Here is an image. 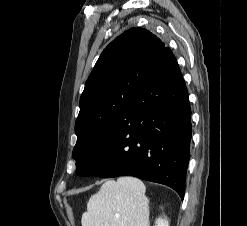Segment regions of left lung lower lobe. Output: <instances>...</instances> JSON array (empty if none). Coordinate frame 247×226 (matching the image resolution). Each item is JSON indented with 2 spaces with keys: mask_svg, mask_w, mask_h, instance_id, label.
I'll use <instances>...</instances> for the list:
<instances>
[{
  "mask_svg": "<svg viewBox=\"0 0 247 226\" xmlns=\"http://www.w3.org/2000/svg\"><path fill=\"white\" fill-rule=\"evenodd\" d=\"M190 118L184 79L176 58L165 47L80 176H135L167 185L183 199L190 157Z\"/></svg>",
  "mask_w": 247,
  "mask_h": 226,
  "instance_id": "left-lung-lower-lobe-1",
  "label": "left lung lower lobe"
}]
</instances>
